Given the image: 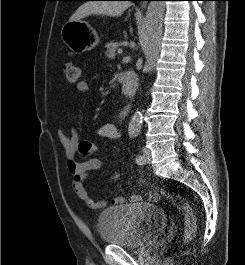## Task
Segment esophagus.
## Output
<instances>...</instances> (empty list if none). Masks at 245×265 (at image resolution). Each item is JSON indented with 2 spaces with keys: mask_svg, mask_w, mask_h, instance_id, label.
Segmentation results:
<instances>
[{
  "mask_svg": "<svg viewBox=\"0 0 245 265\" xmlns=\"http://www.w3.org/2000/svg\"><path fill=\"white\" fill-rule=\"evenodd\" d=\"M145 7H146V4L143 3V4L141 5V8H145Z\"/></svg>",
  "mask_w": 245,
  "mask_h": 265,
  "instance_id": "esophagus-1",
  "label": "esophagus"
}]
</instances>
